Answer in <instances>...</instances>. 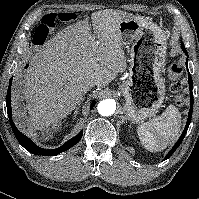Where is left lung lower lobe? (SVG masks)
Segmentation results:
<instances>
[{"instance_id":"1","label":"left lung lower lobe","mask_w":199,"mask_h":199,"mask_svg":"<svg viewBox=\"0 0 199 199\" xmlns=\"http://www.w3.org/2000/svg\"><path fill=\"white\" fill-rule=\"evenodd\" d=\"M182 50L184 51V53L188 57L187 51H186L183 43H182ZM187 62H188V58H186V66H187ZM187 71H188V82H189V91H190V110H189V114H188L187 123H186L185 129H184L182 135L180 136L179 140L176 142V144L173 146V148L169 151V153L166 155L164 160L168 159L175 152V150L179 147V145L181 144V142L183 141V139L185 137V134L187 133L188 127H189L190 122H191L193 102H194L193 101V92H192L193 82H192V77H191V74L189 73L188 68H187Z\"/></svg>"}]
</instances>
